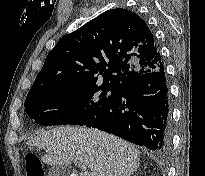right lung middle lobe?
<instances>
[{"mask_svg": "<svg viewBox=\"0 0 205 176\" xmlns=\"http://www.w3.org/2000/svg\"><path fill=\"white\" fill-rule=\"evenodd\" d=\"M116 91L107 85L50 87L29 93L25 111L40 125H86L112 101Z\"/></svg>", "mask_w": 205, "mask_h": 176, "instance_id": "obj_1", "label": "right lung middle lobe"}]
</instances>
